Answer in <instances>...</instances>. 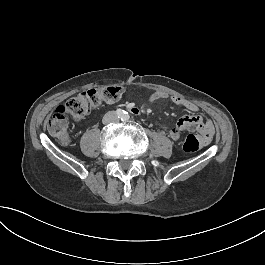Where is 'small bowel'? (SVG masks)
Masks as SVG:
<instances>
[{
	"mask_svg": "<svg viewBox=\"0 0 265 265\" xmlns=\"http://www.w3.org/2000/svg\"><path fill=\"white\" fill-rule=\"evenodd\" d=\"M166 99H170L176 106L182 107L192 113L191 115H185L179 118L176 125L170 129L169 137L172 140H178L182 131L195 129L201 137V142L205 145L208 144L214 134V125L211 120L200 112L198 105L180 96H170L165 91H155L145 101L153 102Z\"/></svg>",
	"mask_w": 265,
	"mask_h": 265,
	"instance_id": "obj_1",
	"label": "small bowel"
}]
</instances>
